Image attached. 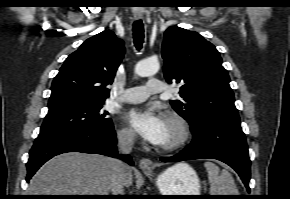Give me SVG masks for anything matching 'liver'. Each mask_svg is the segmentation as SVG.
I'll return each mask as SVG.
<instances>
[{
	"instance_id": "6515ba94",
	"label": "liver",
	"mask_w": 290,
	"mask_h": 199,
	"mask_svg": "<svg viewBox=\"0 0 290 199\" xmlns=\"http://www.w3.org/2000/svg\"><path fill=\"white\" fill-rule=\"evenodd\" d=\"M114 172L112 158L70 152L46 162L32 177L30 195H109ZM133 175L127 167L124 186L130 187Z\"/></svg>"
}]
</instances>
